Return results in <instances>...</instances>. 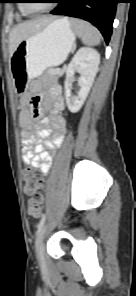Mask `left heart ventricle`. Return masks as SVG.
Segmentation results:
<instances>
[{
	"label": "left heart ventricle",
	"instance_id": "b2bd125f",
	"mask_svg": "<svg viewBox=\"0 0 136 296\" xmlns=\"http://www.w3.org/2000/svg\"><path fill=\"white\" fill-rule=\"evenodd\" d=\"M34 7L41 8L47 5L46 1L36 0L31 3Z\"/></svg>",
	"mask_w": 136,
	"mask_h": 296
}]
</instances>
